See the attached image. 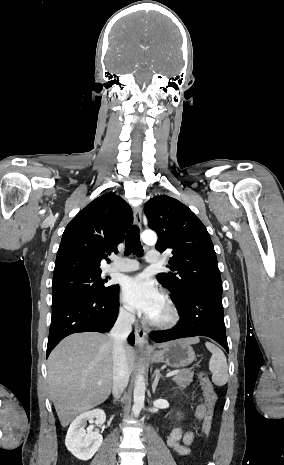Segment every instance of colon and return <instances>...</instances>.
Segmentation results:
<instances>
[{"mask_svg": "<svg viewBox=\"0 0 284 465\" xmlns=\"http://www.w3.org/2000/svg\"><path fill=\"white\" fill-rule=\"evenodd\" d=\"M202 390L206 398V417L204 420L203 432L208 434L211 426V416L216 405V395L214 389L205 373L199 374Z\"/></svg>", "mask_w": 284, "mask_h": 465, "instance_id": "colon-1", "label": "colon"}]
</instances>
